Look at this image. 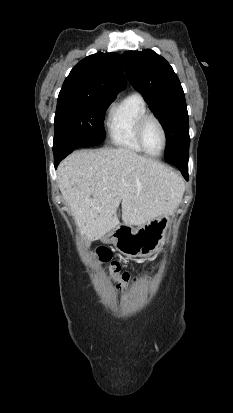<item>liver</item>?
<instances>
[{"label": "liver", "instance_id": "1", "mask_svg": "<svg viewBox=\"0 0 233 413\" xmlns=\"http://www.w3.org/2000/svg\"><path fill=\"white\" fill-rule=\"evenodd\" d=\"M57 175L80 233L91 241L119 225L120 204L123 223L142 226L169 216L184 192L178 174L127 148L75 151L61 162Z\"/></svg>", "mask_w": 233, "mask_h": 413}]
</instances>
